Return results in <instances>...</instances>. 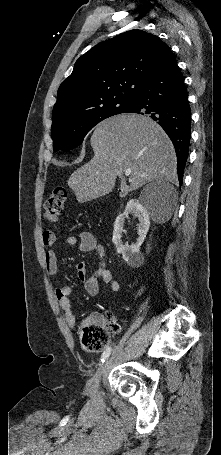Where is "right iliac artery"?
I'll return each mask as SVG.
<instances>
[{
    "label": "right iliac artery",
    "mask_w": 221,
    "mask_h": 455,
    "mask_svg": "<svg viewBox=\"0 0 221 455\" xmlns=\"http://www.w3.org/2000/svg\"><path fill=\"white\" fill-rule=\"evenodd\" d=\"M111 347H108L102 354V358H101V361L104 362L106 358L109 357V355L111 354Z\"/></svg>",
    "instance_id": "82829eb1"
}]
</instances>
